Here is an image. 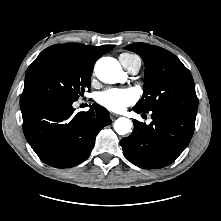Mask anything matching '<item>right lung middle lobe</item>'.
I'll list each match as a JSON object with an SVG mask.
<instances>
[{
  "mask_svg": "<svg viewBox=\"0 0 221 221\" xmlns=\"http://www.w3.org/2000/svg\"><path fill=\"white\" fill-rule=\"evenodd\" d=\"M92 71L93 67L67 55L37 58L27 70L21 99L52 97L74 102L90 89Z\"/></svg>",
  "mask_w": 221,
  "mask_h": 221,
  "instance_id": "right-lung-middle-lobe-1",
  "label": "right lung middle lobe"
}]
</instances>
